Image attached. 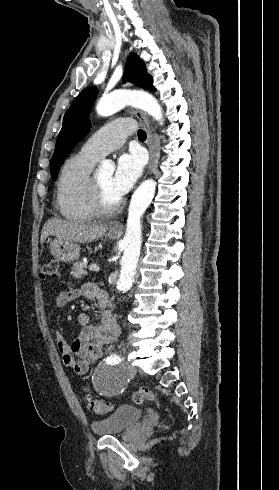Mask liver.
<instances>
[{
	"label": "liver",
	"mask_w": 279,
	"mask_h": 490,
	"mask_svg": "<svg viewBox=\"0 0 279 490\" xmlns=\"http://www.w3.org/2000/svg\"><path fill=\"white\" fill-rule=\"evenodd\" d=\"M107 230V224L65 222L59 218H51L42 228L40 244H44L48 236H56L58 240H69V242H93L102 238Z\"/></svg>",
	"instance_id": "1"
}]
</instances>
